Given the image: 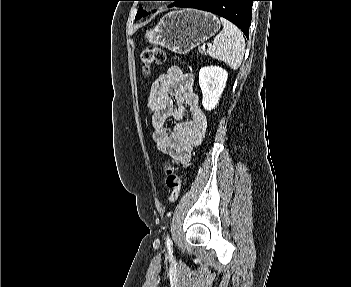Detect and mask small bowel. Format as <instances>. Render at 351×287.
I'll list each match as a JSON object with an SVG mask.
<instances>
[{
	"instance_id": "small-bowel-1",
	"label": "small bowel",
	"mask_w": 351,
	"mask_h": 287,
	"mask_svg": "<svg viewBox=\"0 0 351 287\" xmlns=\"http://www.w3.org/2000/svg\"><path fill=\"white\" fill-rule=\"evenodd\" d=\"M147 107L157 149L176 162L186 164L207 128L206 115L200 107L198 94L193 90V77L177 66L168 68L153 82ZM186 113L189 118H186ZM170 118L176 120L172 128L167 127Z\"/></svg>"
}]
</instances>
